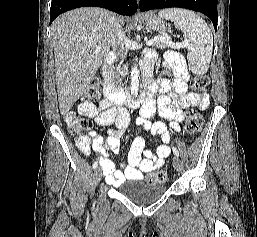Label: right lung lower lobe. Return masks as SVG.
Returning <instances> with one entry per match:
<instances>
[{
  "label": "right lung lower lobe",
  "mask_w": 257,
  "mask_h": 237,
  "mask_svg": "<svg viewBox=\"0 0 257 237\" xmlns=\"http://www.w3.org/2000/svg\"><path fill=\"white\" fill-rule=\"evenodd\" d=\"M103 7L122 15H133L137 11L136 0H52L50 23L61 13L79 7Z\"/></svg>",
  "instance_id": "1"
}]
</instances>
